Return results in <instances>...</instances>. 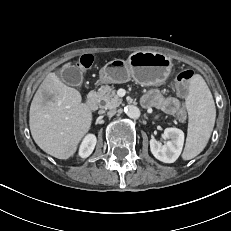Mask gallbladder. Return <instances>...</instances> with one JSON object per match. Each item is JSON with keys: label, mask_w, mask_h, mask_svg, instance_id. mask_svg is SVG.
<instances>
[{"label": "gallbladder", "mask_w": 231, "mask_h": 231, "mask_svg": "<svg viewBox=\"0 0 231 231\" xmlns=\"http://www.w3.org/2000/svg\"><path fill=\"white\" fill-rule=\"evenodd\" d=\"M58 75L65 84L70 86H79L83 81L82 72L75 66L63 68Z\"/></svg>", "instance_id": "obj_1"}]
</instances>
